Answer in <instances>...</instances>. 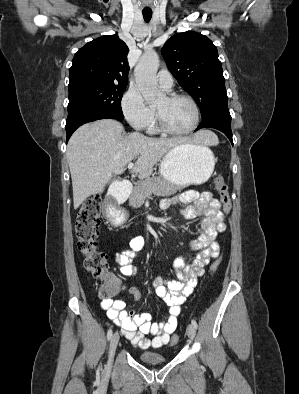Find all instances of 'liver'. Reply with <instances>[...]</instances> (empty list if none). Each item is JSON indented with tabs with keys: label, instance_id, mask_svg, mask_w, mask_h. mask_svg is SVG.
I'll list each match as a JSON object with an SVG mask.
<instances>
[{
	"label": "liver",
	"instance_id": "obj_1",
	"mask_svg": "<svg viewBox=\"0 0 299 394\" xmlns=\"http://www.w3.org/2000/svg\"><path fill=\"white\" fill-rule=\"evenodd\" d=\"M121 123L101 119L78 128L67 145L74 208L89 196L102 193L113 174L125 171V166L138 157L131 173L148 178L155 164L173 147L187 143V138H153L139 132L128 136L122 133ZM194 143L218 144V138L209 131H199Z\"/></svg>",
	"mask_w": 299,
	"mask_h": 394
}]
</instances>
